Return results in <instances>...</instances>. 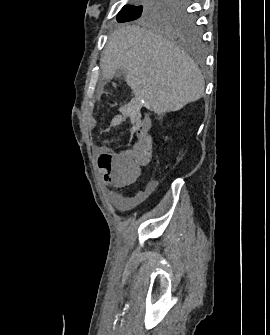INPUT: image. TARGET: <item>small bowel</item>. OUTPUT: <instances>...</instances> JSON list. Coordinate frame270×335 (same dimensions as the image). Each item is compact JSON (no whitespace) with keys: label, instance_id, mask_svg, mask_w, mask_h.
Returning a JSON list of instances; mask_svg holds the SVG:
<instances>
[{"label":"small bowel","instance_id":"c3829d8e","mask_svg":"<svg viewBox=\"0 0 270 335\" xmlns=\"http://www.w3.org/2000/svg\"><path fill=\"white\" fill-rule=\"evenodd\" d=\"M137 127L132 128V133L137 134L139 144H134L130 149H108L107 154H94L93 165L97 173H102L105 182H110L111 178H129L120 183V186H126L139 178L140 169L148 165L147 156H153L154 150L147 145H152L153 140L149 138L151 129V120L144 117L136 123ZM114 156H120L115 158ZM114 198L122 207H127L135 203L140 196L126 197L117 192L113 193Z\"/></svg>","mask_w":270,"mask_h":335}]
</instances>
